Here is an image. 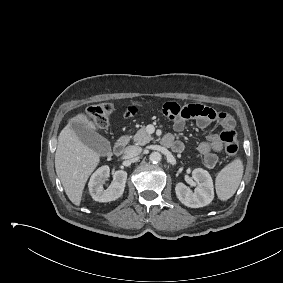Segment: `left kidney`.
<instances>
[{"label":"left kidney","mask_w":283,"mask_h":283,"mask_svg":"<svg viewBox=\"0 0 283 283\" xmlns=\"http://www.w3.org/2000/svg\"><path fill=\"white\" fill-rule=\"evenodd\" d=\"M192 178L197 182L194 192L184 183H178L175 187L179 201L187 207H204L214 199L213 180L208 171L196 168L192 171Z\"/></svg>","instance_id":"left-kidney-1"}]
</instances>
